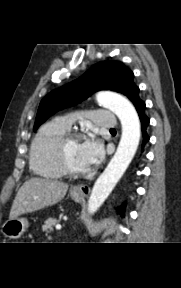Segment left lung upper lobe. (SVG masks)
<instances>
[{"instance_id": "5c2ea615", "label": "left lung upper lobe", "mask_w": 181, "mask_h": 288, "mask_svg": "<svg viewBox=\"0 0 181 288\" xmlns=\"http://www.w3.org/2000/svg\"><path fill=\"white\" fill-rule=\"evenodd\" d=\"M133 72L118 61H102L91 67L78 79L51 91L38 109L34 131L56 111L86 99L93 92L112 90L130 100L139 91L133 82Z\"/></svg>"}]
</instances>
